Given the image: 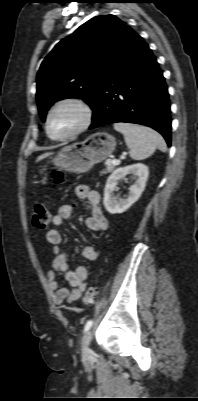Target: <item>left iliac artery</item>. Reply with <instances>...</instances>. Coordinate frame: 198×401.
Wrapping results in <instances>:
<instances>
[{
	"instance_id": "obj_1",
	"label": "left iliac artery",
	"mask_w": 198,
	"mask_h": 401,
	"mask_svg": "<svg viewBox=\"0 0 198 401\" xmlns=\"http://www.w3.org/2000/svg\"><path fill=\"white\" fill-rule=\"evenodd\" d=\"M92 324H93V321L92 320H88L86 322V324H85L84 332L88 331L91 328Z\"/></svg>"
}]
</instances>
